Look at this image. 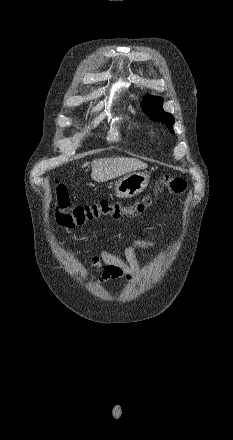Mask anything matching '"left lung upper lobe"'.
<instances>
[{"label": "left lung upper lobe", "mask_w": 233, "mask_h": 440, "mask_svg": "<svg viewBox=\"0 0 233 440\" xmlns=\"http://www.w3.org/2000/svg\"><path fill=\"white\" fill-rule=\"evenodd\" d=\"M162 103H163L162 98L151 96L146 98L141 103V107L152 120L165 123L168 126L169 131L174 133L173 131L174 118L170 113H165L163 111Z\"/></svg>", "instance_id": "5c2ea615"}]
</instances>
